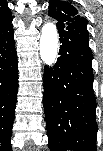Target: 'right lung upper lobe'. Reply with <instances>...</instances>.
Returning <instances> with one entry per match:
<instances>
[{"label":"right lung upper lobe","instance_id":"obj_1","mask_svg":"<svg viewBox=\"0 0 103 151\" xmlns=\"http://www.w3.org/2000/svg\"><path fill=\"white\" fill-rule=\"evenodd\" d=\"M6 4V2H4ZM1 10L7 12L6 16H2L0 18V31L4 30L5 28H7L8 26L11 25V13L9 11V9L5 6L1 7Z\"/></svg>","mask_w":103,"mask_h":151}]
</instances>
